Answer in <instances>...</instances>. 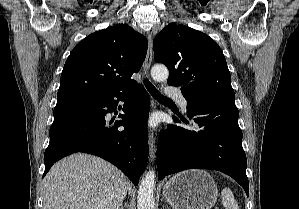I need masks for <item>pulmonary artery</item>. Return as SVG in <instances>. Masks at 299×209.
Segmentation results:
<instances>
[{"label":"pulmonary artery","mask_w":299,"mask_h":209,"mask_svg":"<svg viewBox=\"0 0 299 209\" xmlns=\"http://www.w3.org/2000/svg\"><path fill=\"white\" fill-rule=\"evenodd\" d=\"M166 94L169 97H172L175 100H177L179 102L180 106L183 109H186L187 101H186L185 97L183 96L182 92L179 89L173 88V87H167L166 88Z\"/></svg>","instance_id":"pulmonary-artery-1"}]
</instances>
